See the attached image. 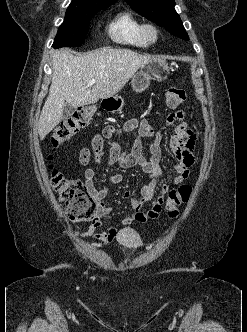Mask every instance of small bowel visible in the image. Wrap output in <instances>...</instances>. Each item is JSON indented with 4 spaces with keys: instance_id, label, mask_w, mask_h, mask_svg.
<instances>
[{
    "instance_id": "c3829d8e",
    "label": "small bowel",
    "mask_w": 247,
    "mask_h": 332,
    "mask_svg": "<svg viewBox=\"0 0 247 332\" xmlns=\"http://www.w3.org/2000/svg\"><path fill=\"white\" fill-rule=\"evenodd\" d=\"M185 117L183 111H178L168 115V122L176 120L182 121ZM122 131L131 133L135 136L132 144L122 147L112 140L114 134L120 133L114 127H107L103 136L96 135L92 141L91 151L83 149L80 154V161L83 165L90 162L101 164L106 155L104 148V138L108 143V164L119 165L122 168L140 167L148 176V181L141 188V197L131 199V213L121 220L122 225H129L135 221H146L148 219L156 220L160 217L163 205L165 204L167 194L171 190L167 185L161 187L160 194L156 196L158 180L162 174L160 166L162 150V135L155 131L147 120L131 119L128 120ZM150 140L149 153L146 158L143 155V140ZM196 133L191 130L185 122L179 123L170 140V147L177 163L174 166L175 176L172 177L175 186H181L187 179L189 169L193 165V152L196 145ZM96 169L87 167L84 171L85 186L96 204V214L93 224L88 228L78 231L77 235L83 239H94L99 245H105L118 237V225L114 224L105 232L96 233V229L102 225V219L108 216L112 210L105 201L107 187L97 188L94 183ZM110 183H119L122 181L121 174H112L108 177ZM123 198L128 199L130 193L125 191ZM152 201L150 209L143 211L144 203Z\"/></svg>"
}]
</instances>
